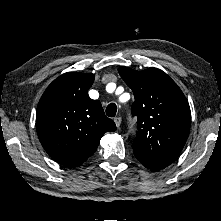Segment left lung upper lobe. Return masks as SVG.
I'll list each match as a JSON object with an SVG mask.
<instances>
[{"instance_id":"obj_1","label":"left lung upper lobe","mask_w":221,"mask_h":221,"mask_svg":"<svg viewBox=\"0 0 221 221\" xmlns=\"http://www.w3.org/2000/svg\"><path fill=\"white\" fill-rule=\"evenodd\" d=\"M119 74L132 89V113L138 118L133 150L154 159L174 162L189 136L191 112L177 84L163 71H136L120 67Z\"/></svg>"}]
</instances>
